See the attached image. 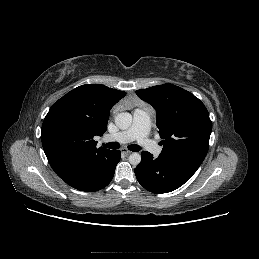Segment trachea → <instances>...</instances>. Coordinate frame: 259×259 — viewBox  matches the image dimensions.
<instances>
[{
  "mask_svg": "<svg viewBox=\"0 0 259 259\" xmlns=\"http://www.w3.org/2000/svg\"><path fill=\"white\" fill-rule=\"evenodd\" d=\"M103 146L109 149H118L120 147V144L118 142H110L107 144H103ZM128 149L133 152H138L141 150V147L139 145L132 144L128 146Z\"/></svg>",
  "mask_w": 259,
  "mask_h": 259,
  "instance_id": "1",
  "label": "trachea"
}]
</instances>
